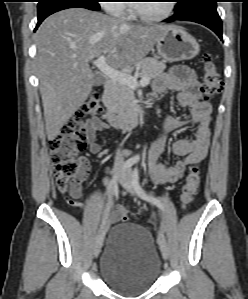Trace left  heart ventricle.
<instances>
[{
	"label": "left heart ventricle",
	"instance_id": "b2bd125f",
	"mask_svg": "<svg viewBox=\"0 0 248 299\" xmlns=\"http://www.w3.org/2000/svg\"><path fill=\"white\" fill-rule=\"evenodd\" d=\"M136 5L141 12L148 15H156L165 9L166 1L143 2Z\"/></svg>",
	"mask_w": 248,
	"mask_h": 299
}]
</instances>
